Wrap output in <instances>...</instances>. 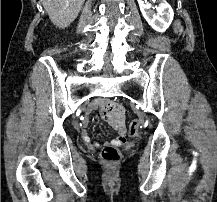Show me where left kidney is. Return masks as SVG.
I'll use <instances>...</instances> for the list:
<instances>
[{
  "instance_id": "1",
  "label": "left kidney",
  "mask_w": 217,
  "mask_h": 202,
  "mask_svg": "<svg viewBox=\"0 0 217 202\" xmlns=\"http://www.w3.org/2000/svg\"><path fill=\"white\" fill-rule=\"evenodd\" d=\"M137 2L140 6L141 14L149 26L156 32H166L174 16V12L166 0H158L159 6H152L147 0H137Z\"/></svg>"
}]
</instances>
